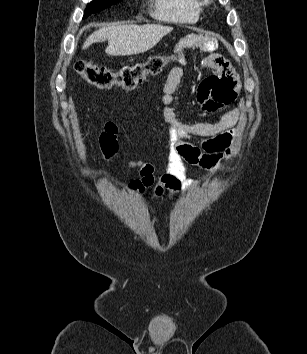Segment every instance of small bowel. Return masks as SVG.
<instances>
[{
	"label": "small bowel",
	"mask_w": 307,
	"mask_h": 354,
	"mask_svg": "<svg viewBox=\"0 0 307 354\" xmlns=\"http://www.w3.org/2000/svg\"><path fill=\"white\" fill-rule=\"evenodd\" d=\"M199 47L210 52L203 65L213 69L216 74L205 78L197 89V100L207 113H214L232 103L237 96L238 81L230 63L221 54L214 52L216 41L207 35L199 34L196 38H186L177 47L181 53L180 66L173 67L163 87V118L167 124L168 160L165 170L157 182L154 167L146 162L130 160L127 166L138 169L140 178L128 185V190L141 194L145 189L154 187L157 196L164 192L177 193L188 190L193 181L186 176L185 163L195 164L207 169L221 168L233 156L232 145L240 110L235 107L224 113L216 122L185 123L180 121L172 104L180 81L184 76L183 66L187 60L185 50ZM118 127L114 122H107L100 135V145L107 158L118 151ZM115 146H111L110 142Z\"/></svg>",
	"instance_id": "small-bowel-1"
}]
</instances>
